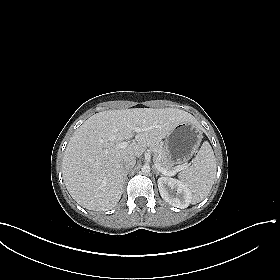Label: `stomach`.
I'll use <instances>...</instances> for the list:
<instances>
[{
  "mask_svg": "<svg viewBox=\"0 0 280 280\" xmlns=\"http://www.w3.org/2000/svg\"><path fill=\"white\" fill-rule=\"evenodd\" d=\"M202 132L192 122H182L175 126L165 139V149L169 157L176 164H181L190 159L197 151Z\"/></svg>",
  "mask_w": 280,
  "mask_h": 280,
  "instance_id": "0dacf381",
  "label": "stomach"
}]
</instances>
